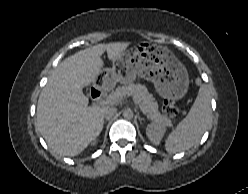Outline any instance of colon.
<instances>
[{
  "label": "colon",
  "mask_w": 248,
  "mask_h": 194,
  "mask_svg": "<svg viewBox=\"0 0 248 194\" xmlns=\"http://www.w3.org/2000/svg\"><path fill=\"white\" fill-rule=\"evenodd\" d=\"M162 112L166 117H168L170 119L176 118L177 107H176L175 99L173 97H168L163 101Z\"/></svg>",
  "instance_id": "colon-1"
}]
</instances>
